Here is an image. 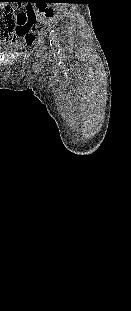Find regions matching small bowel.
<instances>
[{
  "mask_svg": "<svg viewBox=\"0 0 131 311\" xmlns=\"http://www.w3.org/2000/svg\"><path fill=\"white\" fill-rule=\"evenodd\" d=\"M25 28V25H20L15 32H11L10 34L7 33L4 36H8L10 39H13L12 45L16 46L18 45V42H16V39H20L25 45L31 46L35 42V34H32L30 32H26L22 30Z\"/></svg>",
  "mask_w": 131,
  "mask_h": 311,
  "instance_id": "obj_1",
  "label": "small bowel"
}]
</instances>
